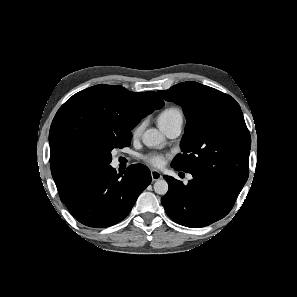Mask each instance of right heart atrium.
Returning a JSON list of instances; mask_svg holds the SVG:
<instances>
[{
    "mask_svg": "<svg viewBox=\"0 0 297 297\" xmlns=\"http://www.w3.org/2000/svg\"><path fill=\"white\" fill-rule=\"evenodd\" d=\"M143 127H144V123L140 122L133 128L132 134L135 138L141 135L143 131Z\"/></svg>",
    "mask_w": 297,
    "mask_h": 297,
    "instance_id": "right-heart-atrium-1",
    "label": "right heart atrium"
}]
</instances>
